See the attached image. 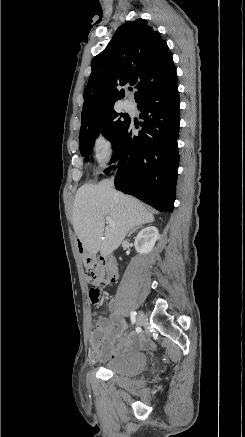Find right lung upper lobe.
Instances as JSON below:
<instances>
[{
  "label": "right lung upper lobe",
  "instance_id": "cb5924a9",
  "mask_svg": "<svg viewBox=\"0 0 245 437\" xmlns=\"http://www.w3.org/2000/svg\"><path fill=\"white\" fill-rule=\"evenodd\" d=\"M91 69L84 89L82 126L114 108L115 102L125 94L120 86L136 85L137 101L178 82L166 41L144 19L119 27L105 50L94 57Z\"/></svg>",
  "mask_w": 245,
  "mask_h": 437
}]
</instances>
